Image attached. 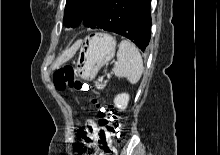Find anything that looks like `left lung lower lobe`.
Masks as SVG:
<instances>
[{
	"instance_id": "1",
	"label": "left lung lower lobe",
	"mask_w": 220,
	"mask_h": 155,
	"mask_svg": "<svg viewBox=\"0 0 220 155\" xmlns=\"http://www.w3.org/2000/svg\"><path fill=\"white\" fill-rule=\"evenodd\" d=\"M150 0H98L82 20L84 26L103 29L133 41L142 51L151 36Z\"/></svg>"
}]
</instances>
